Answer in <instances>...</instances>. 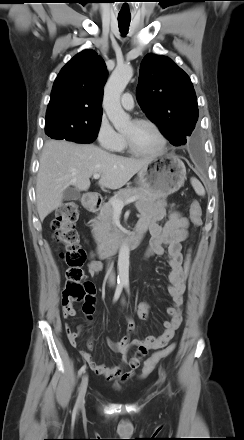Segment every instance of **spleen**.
Wrapping results in <instances>:
<instances>
[{
    "label": "spleen",
    "instance_id": "spleen-1",
    "mask_svg": "<svg viewBox=\"0 0 244 440\" xmlns=\"http://www.w3.org/2000/svg\"><path fill=\"white\" fill-rule=\"evenodd\" d=\"M190 181H191V185L194 188L196 194H198L199 196H204L205 189H204L203 185L201 184V182L195 177H192L190 179Z\"/></svg>",
    "mask_w": 244,
    "mask_h": 440
}]
</instances>
